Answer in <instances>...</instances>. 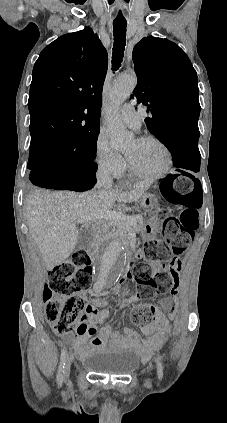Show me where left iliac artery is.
I'll return each instance as SVG.
<instances>
[{
	"label": "left iliac artery",
	"instance_id": "obj_1",
	"mask_svg": "<svg viewBox=\"0 0 227 423\" xmlns=\"http://www.w3.org/2000/svg\"><path fill=\"white\" fill-rule=\"evenodd\" d=\"M156 361H157L158 378L161 380L162 377H163V367H162V364H161V361H160V357L159 356H157Z\"/></svg>",
	"mask_w": 227,
	"mask_h": 423
}]
</instances>
